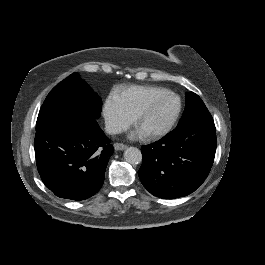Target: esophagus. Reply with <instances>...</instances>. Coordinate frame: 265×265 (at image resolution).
I'll return each instance as SVG.
<instances>
[{
	"label": "esophagus",
	"instance_id": "34e87169",
	"mask_svg": "<svg viewBox=\"0 0 265 265\" xmlns=\"http://www.w3.org/2000/svg\"><path fill=\"white\" fill-rule=\"evenodd\" d=\"M126 145L125 144H123V143H115L114 144V148H115V150H124V149H126Z\"/></svg>",
	"mask_w": 265,
	"mask_h": 265
}]
</instances>
